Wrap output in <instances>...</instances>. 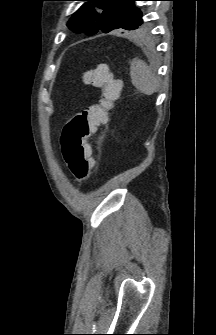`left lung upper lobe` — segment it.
Wrapping results in <instances>:
<instances>
[{
    "label": "left lung upper lobe",
    "mask_w": 216,
    "mask_h": 335,
    "mask_svg": "<svg viewBox=\"0 0 216 335\" xmlns=\"http://www.w3.org/2000/svg\"><path fill=\"white\" fill-rule=\"evenodd\" d=\"M84 1V0H81ZM71 17L68 27L75 33L94 35L114 29L136 30L146 27L142 12L134 6L140 0H87Z\"/></svg>",
    "instance_id": "5c2ea615"
}]
</instances>
